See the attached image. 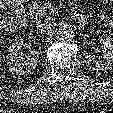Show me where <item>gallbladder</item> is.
<instances>
[{"label": "gallbladder", "mask_w": 113, "mask_h": 113, "mask_svg": "<svg viewBox=\"0 0 113 113\" xmlns=\"http://www.w3.org/2000/svg\"><path fill=\"white\" fill-rule=\"evenodd\" d=\"M6 0H0V10L3 11L5 9L4 2Z\"/></svg>", "instance_id": "obj_1"}]
</instances>
